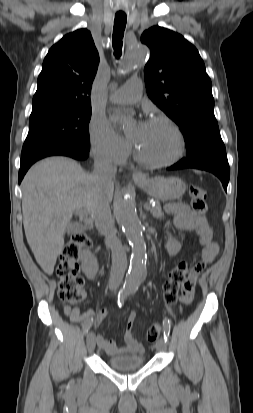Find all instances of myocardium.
<instances>
[{
  "mask_svg": "<svg viewBox=\"0 0 253 413\" xmlns=\"http://www.w3.org/2000/svg\"><path fill=\"white\" fill-rule=\"evenodd\" d=\"M149 122L166 123L171 128V130L173 131L176 137L177 149H176L175 154L171 158L167 160H163V161H156V160H152L144 156L142 152L138 149V147H136L134 152H135V156L138 159V161H140L141 163L147 166L154 167V168H164V167L171 166L175 164L176 162H178L182 158L185 152V146H186L184 135L181 129L179 128V126L170 117L166 115H155L149 119Z\"/></svg>",
  "mask_w": 253,
  "mask_h": 413,
  "instance_id": "f54148a6",
  "label": "myocardium"
}]
</instances>
